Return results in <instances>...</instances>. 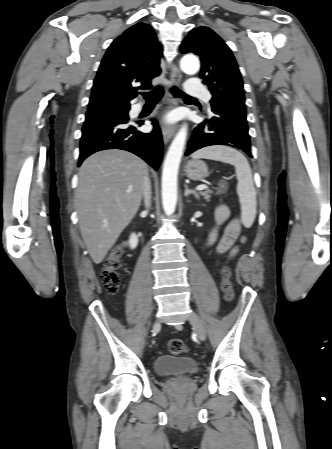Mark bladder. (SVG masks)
Wrapping results in <instances>:
<instances>
[{"mask_svg": "<svg viewBox=\"0 0 332 449\" xmlns=\"http://www.w3.org/2000/svg\"><path fill=\"white\" fill-rule=\"evenodd\" d=\"M153 368L162 377L177 374H195L200 370L198 361L192 357H175L159 355L155 358Z\"/></svg>", "mask_w": 332, "mask_h": 449, "instance_id": "1", "label": "bladder"}]
</instances>
